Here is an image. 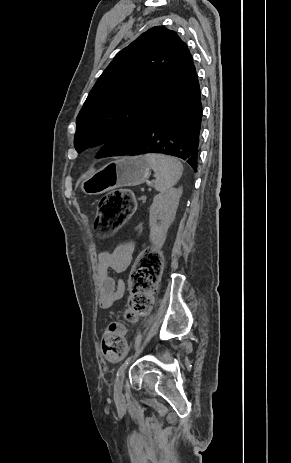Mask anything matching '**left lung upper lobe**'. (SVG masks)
<instances>
[{"instance_id":"1","label":"left lung upper lobe","mask_w":291,"mask_h":463,"mask_svg":"<svg viewBox=\"0 0 291 463\" xmlns=\"http://www.w3.org/2000/svg\"><path fill=\"white\" fill-rule=\"evenodd\" d=\"M196 75L187 45L164 26L141 34L121 50L90 91L76 120L78 153L106 142L100 157L132 149L175 94Z\"/></svg>"}]
</instances>
